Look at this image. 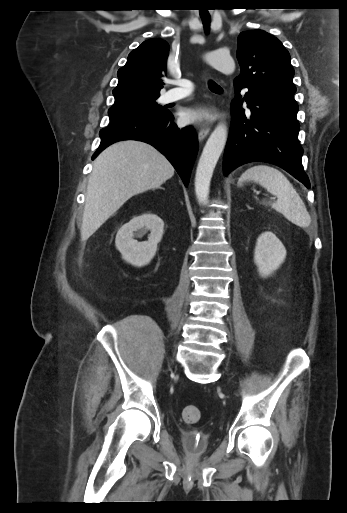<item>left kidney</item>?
I'll return each mask as SVG.
<instances>
[{
    "instance_id": "left-kidney-1",
    "label": "left kidney",
    "mask_w": 347,
    "mask_h": 513,
    "mask_svg": "<svg viewBox=\"0 0 347 513\" xmlns=\"http://www.w3.org/2000/svg\"><path fill=\"white\" fill-rule=\"evenodd\" d=\"M286 249L272 232L262 233L256 242L254 262L262 277H268L284 262Z\"/></svg>"
}]
</instances>
